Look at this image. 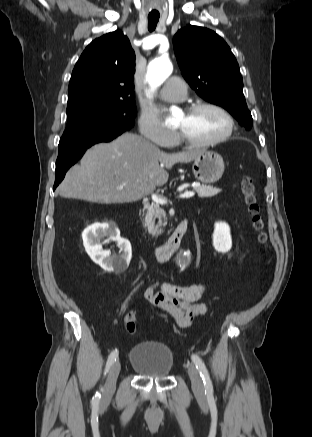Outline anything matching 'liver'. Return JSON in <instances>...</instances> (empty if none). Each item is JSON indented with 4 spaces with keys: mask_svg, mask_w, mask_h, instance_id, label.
Returning <instances> with one entry per match:
<instances>
[{
    "mask_svg": "<svg viewBox=\"0 0 312 437\" xmlns=\"http://www.w3.org/2000/svg\"><path fill=\"white\" fill-rule=\"evenodd\" d=\"M202 151L166 153L139 135L125 133L89 148L80 164L66 173L58 192L64 198L101 204L135 202L167 182L165 168L191 162Z\"/></svg>",
    "mask_w": 312,
    "mask_h": 437,
    "instance_id": "liver-1",
    "label": "liver"
}]
</instances>
